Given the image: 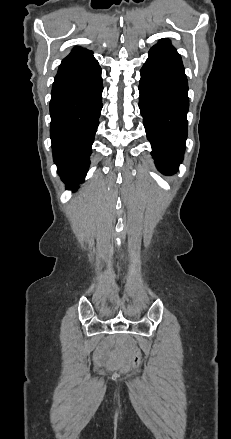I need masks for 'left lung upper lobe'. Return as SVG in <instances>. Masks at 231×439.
Listing matches in <instances>:
<instances>
[{"label":"left lung upper lobe","mask_w":231,"mask_h":439,"mask_svg":"<svg viewBox=\"0 0 231 439\" xmlns=\"http://www.w3.org/2000/svg\"><path fill=\"white\" fill-rule=\"evenodd\" d=\"M155 46H160V47H166V48H171V49H175L172 45L170 40L168 39H161L158 45Z\"/></svg>","instance_id":"5c2ea615"}]
</instances>
